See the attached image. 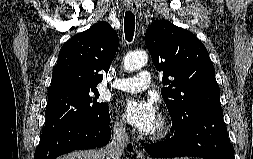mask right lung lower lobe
<instances>
[{"instance_id": "right-lung-lower-lobe-1", "label": "right lung lower lobe", "mask_w": 253, "mask_h": 159, "mask_svg": "<svg viewBox=\"0 0 253 159\" xmlns=\"http://www.w3.org/2000/svg\"><path fill=\"white\" fill-rule=\"evenodd\" d=\"M110 117L105 122L81 121L41 138L34 159H55L74 150L105 146L111 137ZM128 150L132 151L131 144Z\"/></svg>"}]
</instances>
